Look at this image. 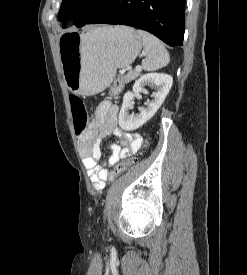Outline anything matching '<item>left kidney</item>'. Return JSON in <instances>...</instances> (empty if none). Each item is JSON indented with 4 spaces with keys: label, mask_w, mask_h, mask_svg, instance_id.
Masks as SVG:
<instances>
[{
    "label": "left kidney",
    "mask_w": 247,
    "mask_h": 275,
    "mask_svg": "<svg viewBox=\"0 0 247 275\" xmlns=\"http://www.w3.org/2000/svg\"><path fill=\"white\" fill-rule=\"evenodd\" d=\"M173 83L172 76L165 73H147L142 75L133 85L132 92L125 93L122 107L119 113V126L126 131L138 129L150 120L160 106L163 104ZM146 85H155L157 91L153 93L154 99L140 109L138 114H129V109L133 106L134 96L139 94Z\"/></svg>",
    "instance_id": "1"
}]
</instances>
